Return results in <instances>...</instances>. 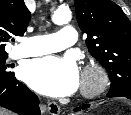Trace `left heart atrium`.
Listing matches in <instances>:
<instances>
[{"label": "left heart atrium", "mask_w": 131, "mask_h": 115, "mask_svg": "<svg viewBox=\"0 0 131 115\" xmlns=\"http://www.w3.org/2000/svg\"><path fill=\"white\" fill-rule=\"evenodd\" d=\"M21 77L35 91L53 97L73 94L80 84L78 66L68 57L31 60L22 66Z\"/></svg>", "instance_id": "1"}]
</instances>
